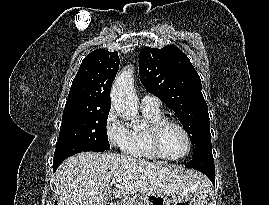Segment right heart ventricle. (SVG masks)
<instances>
[{"instance_id": "e07e8e85", "label": "right heart ventricle", "mask_w": 269, "mask_h": 205, "mask_svg": "<svg viewBox=\"0 0 269 205\" xmlns=\"http://www.w3.org/2000/svg\"><path fill=\"white\" fill-rule=\"evenodd\" d=\"M142 112L148 126L145 129L130 131V140L124 149V153L130 157L139 159H158L159 157L155 155L148 143L147 129L151 124L163 118L164 115L160 109L151 110L142 108Z\"/></svg>"}]
</instances>
